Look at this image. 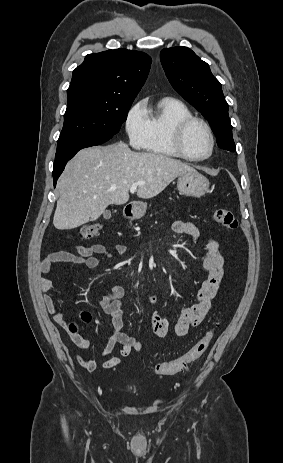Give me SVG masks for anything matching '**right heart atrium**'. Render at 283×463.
Instances as JSON below:
<instances>
[{
    "instance_id": "1",
    "label": "right heart atrium",
    "mask_w": 283,
    "mask_h": 463,
    "mask_svg": "<svg viewBox=\"0 0 283 463\" xmlns=\"http://www.w3.org/2000/svg\"><path fill=\"white\" fill-rule=\"evenodd\" d=\"M125 131L132 147L143 148L147 137V114L144 101L135 103L125 118Z\"/></svg>"
}]
</instances>
